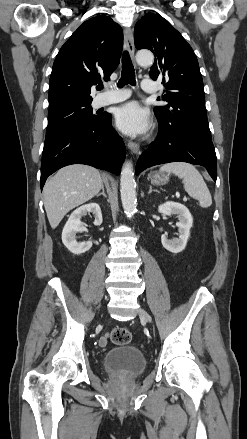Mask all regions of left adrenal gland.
<instances>
[{"label": "left adrenal gland", "instance_id": "obj_1", "mask_svg": "<svg viewBox=\"0 0 247 439\" xmlns=\"http://www.w3.org/2000/svg\"><path fill=\"white\" fill-rule=\"evenodd\" d=\"M152 192L160 193L158 190L152 189V186L150 185L148 194H151Z\"/></svg>", "mask_w": 247, "mask_h": 439}]
</instances>
